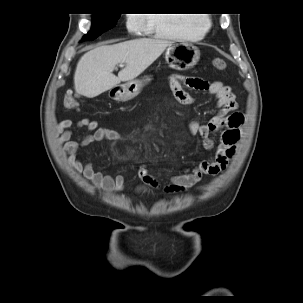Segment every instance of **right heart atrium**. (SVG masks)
Masks as SVG:
<instances>
[{"label": "right heart atrium", "mask_w": 303, "mask_h": 303, "mask_svg": "<svg viewBox=\"0 0 303 303\" xmlns=\"http://www.w3.org/2000/svg\"><path fill=\"white\" fill-rule=\"evenodd\" d=\"M127 18V27L131 31H138L144 27V16L143 14H129Z\"/></svg>", "instance_id": "right-heart-atrium-1"}]
</instances>
